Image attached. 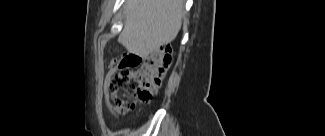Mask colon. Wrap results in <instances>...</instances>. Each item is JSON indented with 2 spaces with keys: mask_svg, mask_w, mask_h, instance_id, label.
Returning <instances> with one entry per match:
<instances>
[{
  "mask_svg": "<svg viewBox=\"0 0 325 136\" xmlns=\"http://www.w3.org/2000/svg\"><path fill=\"white\" fill-rule=\"evenodd\" d=\"M170 64L171 52L168 46L153 51L114 92L112 99L115 110L126 114L132 111L137 103H148L161 87Z\"/></svg>",
  "mask_w": 325,
  "mask_h": 136,
  "instance_id": "colon-1",
  "label": "colon"
}]
</instances>
